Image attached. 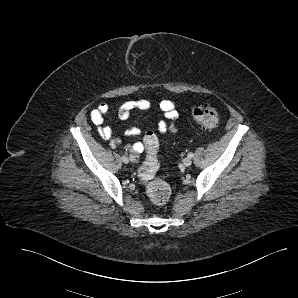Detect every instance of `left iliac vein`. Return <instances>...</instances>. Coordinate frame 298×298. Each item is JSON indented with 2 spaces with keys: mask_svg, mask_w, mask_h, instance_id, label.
Returning a JSON list of instances; mask_svg holds the SVG:
<instances>
[{
  "mask_svg": "<svg viewBox=\"0 0 298 298\" xmlns=\"http://www.w3.org/2000/svg\"><path fill=\"white\" fill-rule=\"evenodd\" d=\"M192 164V159L190 157H186L183 159V165L188 167Z\"/></svg>",
  "mask_w": 298,
  "mask_h": 298,
  "instance_id": "left-iliac-vein-1",
  "label": "left iliac vein"
}]
</instances>
